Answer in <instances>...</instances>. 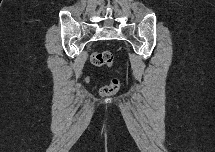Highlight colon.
<instances>
[{
    "mask_svg": "<svg viewBox=\"0 0 215 152\" xmlns=\"http://www.w3.org/2000/svg\"><path fill=\"white\" fill-rule=\"evenodd\" d=\"M91 62L98 67H111L114 62L113 53L110 51H95L90 55ZM120 81L118 78H112L110 83L104 85L100 89L102 97H109L118 92Z\"/></svg>",
    "mask_w": 215,
    "mask_h": 152,
    "instance_id": "obj_1",
    "label": "colon"
}]
</instances>
